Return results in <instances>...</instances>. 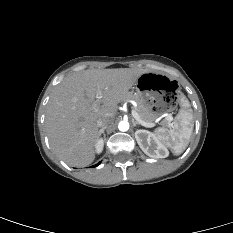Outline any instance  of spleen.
I'll return each instance as SVG.
<instances>
[{
    "label": "spleen",
    "instance_id": "3e777b00",
    "mask_svg": "<svg viewBox=\"0 0 233 233\" xmlns=\"http://www.w3.org/2000/svg\"><path fill=\"white\" fill-rule=\"evenodd\" d=\"M181 109L173 122L172 128L164 127L155 130L159 141L171 149L174 155H180L187 148L194 128L193 111L189 100L182 94Z\"/></svg>",
    "mask_w": 233,
    "mask_h": 233
}]
</instances>
